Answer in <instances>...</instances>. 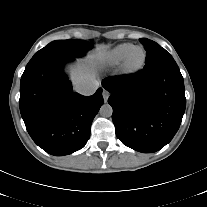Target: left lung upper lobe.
<instances>
[{
  "label": "left lung upper lobe",
  "instance_id": "1",
  "mask_svg": "<svg viewBox=\"0 0 207 207\" xmlns=\"http://www.w3.org/2000/svg\"><path fill=\"white\" fill-rule=\"evenodd\" d=\"M140 42L143 44L147 52L146 65L144 66L145 68L153 67L158 64L174 60L173 57L156 42L146 38H141Z\"/></svg>",
  "mask_w": 207,
  "mask_h": 207
}]
</instances>
